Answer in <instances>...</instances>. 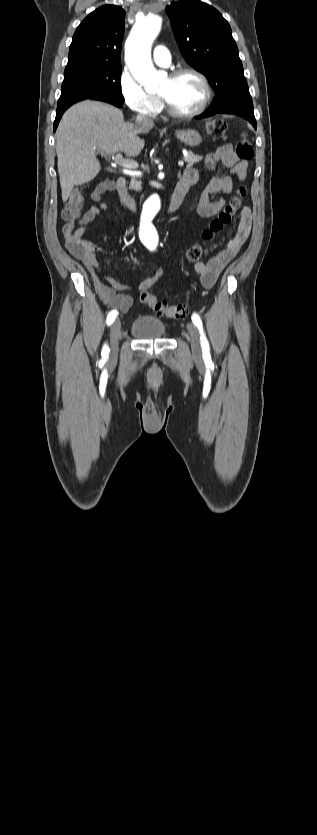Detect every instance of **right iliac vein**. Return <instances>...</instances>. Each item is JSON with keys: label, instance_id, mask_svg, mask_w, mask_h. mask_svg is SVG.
Returning a JSON list of instances; mask_svg holds the SVG:
<instances>
[{"label": "right iliac vein", "instance_id": "1", "mask_svg": "<svg viewBox=\"0 0 317 835\" xmlns=\"http://www.w3.org/2000/svg\"><path fill=\"white\" fill-rule=\"evenodd\" d=\"M120 330H121V323H120V320L117 319L113 322V324L110 328V345H111V351H112L113 354H116L117 350H118V341H119V336H120Z\"/></svg>", "mask_w": 317, "mask_h": 835}]
</instances>
